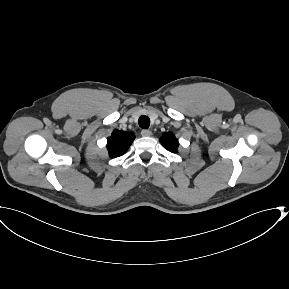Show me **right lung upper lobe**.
<instances>
[{
	"label": "right lung upper lobe",
	"instance_id": "right-lung-upper-lobe-1",
	"mask_svg": "<svg viewBox=\"0 0 289 289\" xmlns=\"http://www.w3.org/2000/svg\"><path fill=\"white\" fill-rule=\"evenodd\" d=\"M135 139L133 133L115 130L112 135L107 139V149L109 156L115 158L125 154Z\"/></svg>",
	"mask_w": 289,
	"mask_h": 289
}]
</instances>
